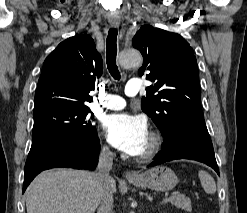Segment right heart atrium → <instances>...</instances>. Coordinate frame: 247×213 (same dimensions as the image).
Returning a JSON list of instances; mask_svg holds the SVG:
<instances>
[{"label": "right heart atrium", "mask_w": 247, "mask_h": 213, "mask_svg": "<svg viewBox=\"0 0 247 213\" xmlns=\"http://www.w3.org/2000/svg\"><path fill=\"white\" fill-rule=\"evenodd\" d=\"M101 153L106 156V157H109L113 154L112 150H111V147L108 143H105L102 145L101 147Z\"/></svg>", "instance_id": "obj_1"}]
</instances>
